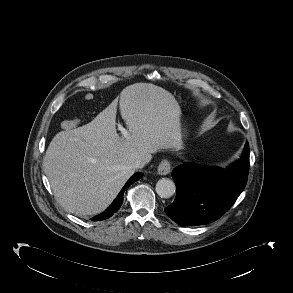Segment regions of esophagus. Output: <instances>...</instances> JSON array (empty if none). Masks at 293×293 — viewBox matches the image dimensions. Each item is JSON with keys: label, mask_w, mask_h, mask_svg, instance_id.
<instances>
[{"label": "esophagus", "mask_w": 293, "mask_h": 293, "mask_svg": "<svg viewBox=\"0 0 293 293\" xmlns=\"http://www.w3.org/2000/svg\"><path fill=\"white\" fill-rule=\"evenodd\" d=\"M171 170L170 162L166 159L162 160L158 166L157 173L159 175H167Z\"/></svg>", "instance_id": "esophagus-1"}]
</instances>
